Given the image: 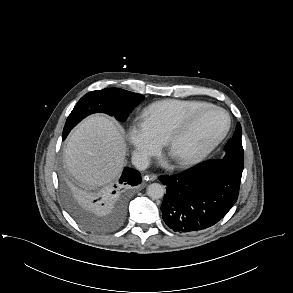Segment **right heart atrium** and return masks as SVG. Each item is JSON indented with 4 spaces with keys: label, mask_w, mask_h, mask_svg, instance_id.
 I'll return each instance as SVG.
<instances>
[{
    "label": "right heart atrium",
    "mask_w": 293,
    "mask_h": 293,
    "mask_svg": "<svg viewBox=\"0 0 293 293\" xmlns=\"http://www.w3.org/2000/svg\"><path fill=\"white\" fill-rule=\"evenodd\" d=\"M127 139L133 147V156L137 163L144 164L157 154L164 144L149 124L142 118L130 122L127 130Z\"/></svg>",
    "instance_id": "right-heart-atrium-1"
}]
</instances>
